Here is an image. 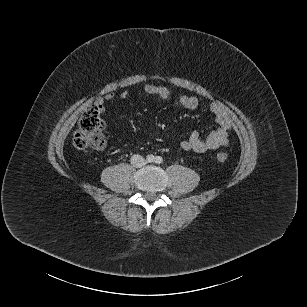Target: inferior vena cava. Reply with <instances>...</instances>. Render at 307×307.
I'll list each match as a JSON object with an SVG mask.
<instances>
[{
  "label": "inferior vena cava",
  "mask_w": 307,
  "mask_h": 307,
  "mask_svg": "<svg viewBox=\"0 0 307 307\" xmlns=\"http://www.w3.org/2000/svg\"><path fill=\"white\" fill-rule=\"evenodd\" d=\"M131 164L136 167L140 168L146 164L145 159L141 155H133L131 157Z\"/></svg>",
  "instance_id": "602c4592"
}]
</instances>
